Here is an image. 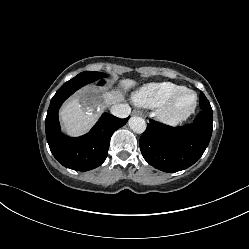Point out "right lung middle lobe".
<instances>
[{
	"label": "right lung middle lobe",
	"mask_w": 249,
	"mask_h": 249,
	"mask_svg": "<svg viewBox=\"0 0 249 249\" xmlns=\"http://www.w3.org/2000/svg\"><path fill=\"white\" fill-rule=\"evenodd\" d=\"M105 77H106L105 73L85 71V72H82V73L78 74L73 79H75V80H85L88 83H90V82H93V81H96V80H99V79H103Z\"/></svg>",
	"instance_id": "dd1d6c3e"
}]
</instances>
